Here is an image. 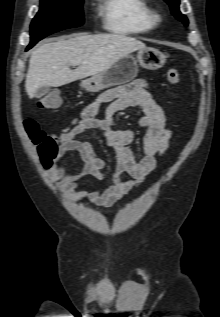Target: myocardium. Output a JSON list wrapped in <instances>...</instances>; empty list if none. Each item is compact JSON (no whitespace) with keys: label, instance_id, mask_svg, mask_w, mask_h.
<instances>
[{"label":"myocardium","instance_id":"myocardium-1","mask_svg":"<svg viewBox=\"0 0 220 317\" xmlns=\"http://www.w3.org/2000/svg\"><path fill=\"white\" fill-rule=\"evenodd\" d=\"M152 17H153V22L155 24L161 22V20H162L161 15L159 13H157V12H153Z\"/></svg>","mask_w":220,"mask_h":317}]
</instances>
